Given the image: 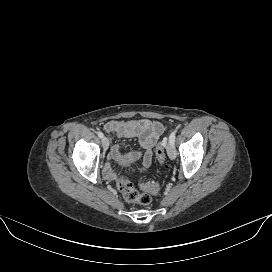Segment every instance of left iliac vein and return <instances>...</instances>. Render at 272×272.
Returning <instances> with one entry per match:
<instances>
[{
	"instance_id": "obj_1",
	"label": "left iliac vein",
	"mask_w": 272,
	"mask_h": 272,
	"mask_svg": "<svg viewBox=\"0 0 272 272\" xmlns=\"http://www.w3.org/2000/svg\"><path fill=\"white\" fill-rule=\"evenodd\" d=\"M166 148H167V154H168L169 158L175 159L176 158V150H175L174 145L171 142H169L167 144Z\"/></svg>"
}]
</instances>
